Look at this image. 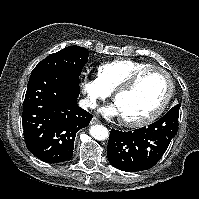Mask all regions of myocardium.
Segmentation results:
<instances>
[{
    "label": "myocardium",
    "instance_id": "obj_1",
    "mask_svg": "<svg viewBox=\"0 0 199 199\" xmlns=\"http://www.w3.org/2000/svg\"><path fill=\"white\" fill-rule=\"evenodd\" d=\"M152 71H157L162 73L168 81V92L162 101V103L148 116L141 118V119H136V120H131L127 118H121V122L123 125L127 127H132V128H138V127H143L146 125L151 124L154 122L161 114L165 111L167 106L169 105L173 94H174V80L172 78V75L164 68L159 67V66H154V65H149L147 67L141 68L135 72H133L120 86H118L114 91H113V101L116 102L117 98L132 90L139 79L146 73L152 72Z\"/></svg>",
    "mask_w": 199,
    "mask_h": 199
}]
</instances>
